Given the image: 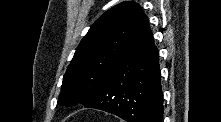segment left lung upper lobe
Here are the masks:
<instances>
[{
    "label": "left lung upper lobe",
    "mask_w": 221,
    "mask_h": 122,
    "mask_svg": "<svg viewBox=\"0 0 221 122\" xmlns=\"http://www.w3.org/2000/svg\"><path fill=\"white\" fill-rule=\"evenodd\" d=\"M140 6L122 2L90 27L63 77L58 104L89 102L120 58L135 25Z\"/></svg>",
    "instance_id": "1"
}]
</instances>
